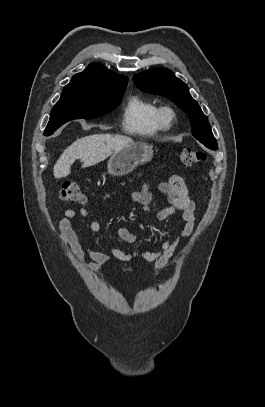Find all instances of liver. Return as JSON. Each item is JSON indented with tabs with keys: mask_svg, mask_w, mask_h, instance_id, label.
Masks as SVG:
<instances>
[{
	"mask_svg": "<svg viewBox=\"0 0 265 407\" xmlns=\"http://www.w3.org/2000/svg\"><path fill=\"white\" fill-rule=\"evenodd\" d=\"M133 142L130 137L110 134H95L77 139L57 160L53 168L54 177L56 179L67 177L76 159L83 162L82 167L93 166Z\"/></svg>",
	"mask_w": 265,
	"mask_h": 407,
	"instance_id": "6515ba94",
	"label": "liver"
}]
</instances>
